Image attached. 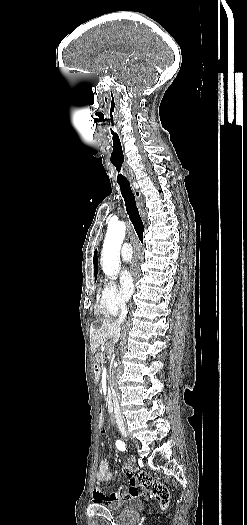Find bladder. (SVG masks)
Here are the masks:
<instances>
[{
    "label": "bladder",
    "instance_id": "1",
    "mask_svg": "<svg viewBox=\"0 0 247 525\" xmlns=\"http://www.w3.org/2000/svg\"><path fill=\"white\" fill-rule=\"evenodd\" d=\"M122 504L119 502H107L104 503V508L111 513H117L121 511Z\"/></svg>",
    "mask_w": 247,
    "mask_h": 525
}]
</instances>
